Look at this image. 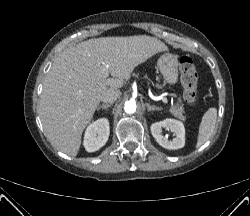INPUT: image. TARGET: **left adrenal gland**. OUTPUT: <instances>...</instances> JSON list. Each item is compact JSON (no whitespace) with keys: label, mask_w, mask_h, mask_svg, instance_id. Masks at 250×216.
I'll list each match as a JSON object with an SVG mask.
<instances>
[{"label":"left adrenal gland","mask_w":250,"mask_h":216,"mask_svg":"<svg viewBox=\"0 0 250 216\" xmlns=\"http://www.w3.org/2000/svg\"><path fill=\"white\" fill-rule=\"evenodd\" d=\"M145 105L147 107V111H155V110L158 111V110H161L160 107H156L154 105H150L149 103H146Z\"/></svg>","instance_id":"a2214340"}]
</instances>
